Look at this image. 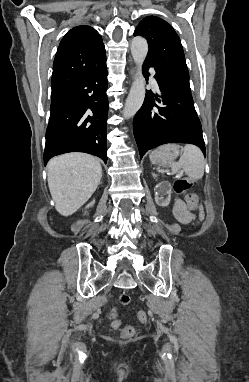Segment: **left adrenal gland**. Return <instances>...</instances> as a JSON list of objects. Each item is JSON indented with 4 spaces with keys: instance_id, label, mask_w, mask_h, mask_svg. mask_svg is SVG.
Returning <instances> with one entry per match:
<instances>
[{
    "instance_id": "1",
    "label": "left adrenal gland",
    "mask_w": 249,
    "mask_h": 382,
    "mask_svg": "<svg viewBox=\"0 0 249 382\" xmlns=\"http://www.w3.org/2000/svg\"><path fill=\"white\" fill-rule=\"evenodd\" d=\"M152 175H153V177H154V178H156V177H157V175H156L155 173H152Z\"/></svg>"
}]
</instances>
